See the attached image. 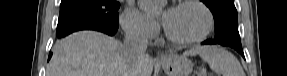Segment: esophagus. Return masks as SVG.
<instances>
[{
  "label": "esophagus",
  "instance_id": "34e87169",
  "mask_svg": "<svg viewBox=\"0 0 287 76\" xmlns=\"http://www.w3.org/2000/svg\"><path fill=\"white\" fill-rule=\"evenodd\" d=\"M157 58H158V59H164L165 56H164L163 54L158 53V54H157Z\"/></svg>",
  "mask_w": 287,
  "mask_h": 76
}]
</instances>
